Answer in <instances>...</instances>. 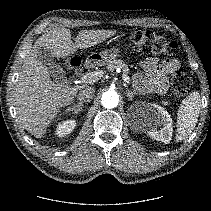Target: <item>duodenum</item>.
<instances>
[{
    "label": "duodenum",
    "instance_id": "410a0bca",
    "mask_svg": "<svg viewBox=\"0 0 211 211\" xmlns=\"http://www.w3.org/2000/svg\"><path fill=\"white\" fill-rule=\"evenodd\" d=\"M99 61V58L96 57L94 59L90 58L88 60L85 61L84 63V67L89 69V68H92L97 62ZM75 68V67H74ZM79 67L75 68V71H79Z\"/></svg>",
    "mask_w": 211,
    "mask_h": 211
}]
</instances>
